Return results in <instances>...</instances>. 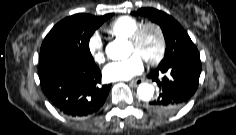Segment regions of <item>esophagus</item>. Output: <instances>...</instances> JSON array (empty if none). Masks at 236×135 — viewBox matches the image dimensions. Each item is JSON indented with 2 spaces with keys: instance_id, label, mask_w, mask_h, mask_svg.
<instances>
[{
  "instance_id": "esophagus-1",
  "label": "esophagus",
  "mask_w": 236,
  "mask_h": 135,
  "mask_svg": "<svg viewBox=\"0 0 236 135\" xmlns=\"http://www.w3.org/2000/svg\"><path fill=\"white\" fill-rule=\"evenodd\" d=\"M141 82H142V80L137 79V80L129 81V84L132 85V86H137V85H139Z\"/></svg>"
}]
</instances>
